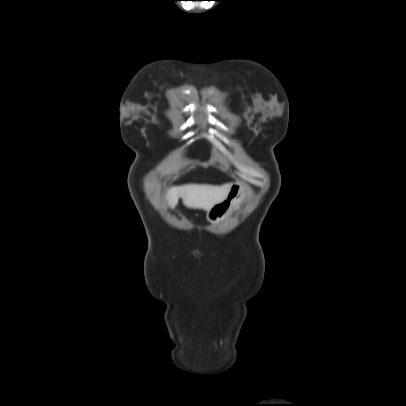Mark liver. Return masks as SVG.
Segmentation results:
<instances>
[{"mask_svg": "<svg viewBox=\"0 0 406 406\" xmlns=\"http://www.w3.org/2000/svg\"><path fill=\"white\" fill-rule=\"evenodd\" d=\"M229 187L230 184L222 186L191 184L174 187L169 190L167 199L172 207L176 206L181 197L187 207L208 211L214 204L226 197Z\"/></svg>", "mask_w": 406, "mask_h": 406, "instance_id": "liver-1", "label": "liver"}]
</instances>
